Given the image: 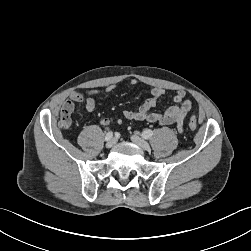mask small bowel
<instances>
[{
  "label": "small bowel",
  "mask_w": 251,
  "mask_h": 251,
  "mask_svg": "<svg viewBox=\"0 0 251 251\" xmlns=\"http://www.w3.org/2000/svg\"><path fill=\"white\" fill-rule=\"evenodd\" d=\"M137 84L138 80H136L135 78H131L128 81V85L131 87H134ZM115 88L116 87L114 85H111L104 89L90 90L85 98H83L82 94L79 91H74L70 95V100H67L64 103V106H74L72 101H83L85 109L88 112H92L96 107L95 97L102 94H108L114 91ZM147 88L151 96L137 109L124 111L122 114L123 117L128 120L159 123L160 125H170L175 123L178 130L180 132L183 131L184 121L192 108V103L189 99H186L185 92L182 90L176 91L172 96V100L174 101L175 105L170 106L163 113H157L152 112L151 110L157 106L160 98L165 95L166 91L165 89L156 86H148ZM114 122L120 124L122 120L121 118L113 117H103L100 119V124L103 126H108Z\"/></svg>",
  "instance_id": "small-bowel-1"
}]
</instances>
